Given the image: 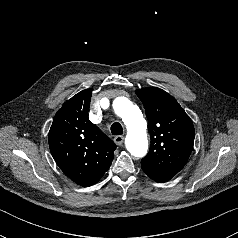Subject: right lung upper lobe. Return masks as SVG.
<instances>
[{
  "label": "right lung upper lobe",
  "mask_w": 238,
  "mask_h": 238,
  "mask_svg": "<svg viewBox=\"0 0 238 238\" xmlns=\"http://www.w3.org/2000/svg\"><path fill=\"white\" fill-rule=\"evenodd\" d=\"M92 91L83 90L66 101L49 131V147L56 164L72 181L85 187L101 179L116 149L88 118Z\"/></svg>",
  "instance_id": "1"
}]
</instances>
